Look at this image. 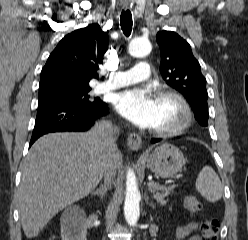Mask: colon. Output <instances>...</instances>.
I'll list each match as a JSON object with an SVG mask.
<instances>
[{
  "instance_id": "colon-1",
  "label": "colon",
  "mask_w": 248,
  "mask_h": 240,
  "mask_svg": "<svg viewBox=\"0 0 248 240\" xmlns=\"http://www.w3.org/2000/svg\"><path fill=\"white\" fill-rule=\"evenodd\" d=\"M184 204L185 207L193 213H198L202 209L201 203L193 195H187ZM201 230V240H218L219 222L216 219H205L202 222Z\"/></svg>"
}]
</instances>
